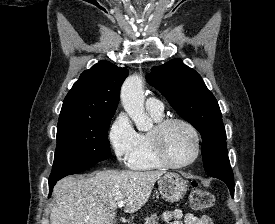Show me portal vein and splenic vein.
<instances>
[{"mask_svg": "<svg viewBox=\"0 0 275 224\" xmlns=\"http://www.w3.org/2000/svg\"><path fill=\"white\" fill-rule=\"evenodd\" d=\"M125 203H126V201H124V200L119 201L118 204H117V206H118L119 208H122V207L125 205Z\"/></svg>", "mask_w": 275, "mask_h": 224, "instance_id": "obj_1", "label": "portal vein and splenic vein"}]
</instances>
